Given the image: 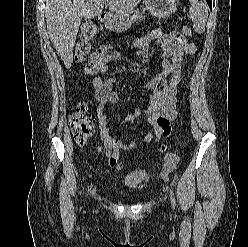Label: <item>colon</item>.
<instances>
[{"instance_id": "colon-1", "label": "colon", "mask_w": 248, "mask_h": 247, "mask_svg": "<svg viewBox=\"0 0 248 247\" xmlns=\"http://www.w3.org/2000/svg\"><path fill=\"white\" fill-rule=\"evenodd\" d=\"M181 31L186 36H190L192 33L191 28L188 26H183ZM98 33L99 27L97 24L87 22L83 25L74 53V58L77 63H82L85 61L91 50V40L95 38ZM161 35V31H156L154 33L155 37ZM106 52L107 47L101 46L91 55L84 67L86 74L94 75L99 71L100 62L102 58L106 56ZM69 124L74 140L80 146H83L94 132V117L88 113L87 107L84 104H79L76 106L72 114L69 116Z\"/></svg>"}]
</instances>
